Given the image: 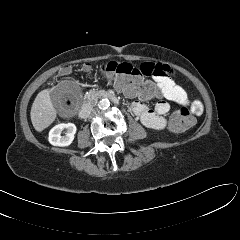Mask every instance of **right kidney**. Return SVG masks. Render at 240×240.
Instances as JSON below:
<instances>
[{"label": "right kidney", "mask_w": 240, "mask_h": 240, "mask_svg": "<svg viewBox=\"0 0 240 240\" xmlns=\"http://www.w3.org/2000/svg\"><path fill=\"white\" fill-rule=\"evenodd\" d=\"M64 130H66L65 136H61ZM76 130L77 128L73 123L58 124L50 130L48 140L54 146H68L74 140Z\"/></svg>", "instance_id": "right-kidney-1"}]
</instances>
